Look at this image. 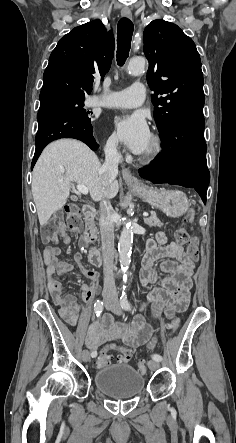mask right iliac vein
Segmentation results:
<instances>
[{
    "mask_svg": "<svg viewBox=\"0 0 236 443\" xmlns=\"http://www.w3.org/2000/svg\"><path fill=\"white\" fill-rule=\"evenodd\" d=\"M112 307H113L112 304H109V303L105 304V308L108 309V310L111 309ZM80 356H81V359L84 362H88L90 360V353L86 349L81 351Z\"/></svg>",
    "mask_w": 236,
    "mask_h": 443,
    "instance_id": "63e3f726",
    "label": "right iliac vein"
}]
</instances>
